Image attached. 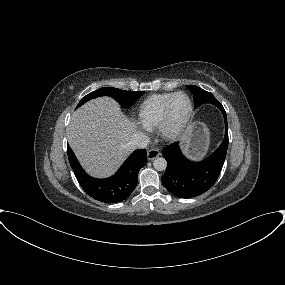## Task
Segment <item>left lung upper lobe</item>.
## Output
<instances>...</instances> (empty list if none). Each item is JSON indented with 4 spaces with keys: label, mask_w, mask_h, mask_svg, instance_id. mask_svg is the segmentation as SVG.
<instances>
[{
    "label": "left lung upper lobe",
    "mask_w": 285,
    "mask_h": 285,
    "mask_svg": "<svg viewBox=\"0 0 285 285\" xmlns=\"http://www.w3.org/2000/svg\"><path fill=\"white\" fill-rule=\"evenodd\" d=\"M186 87L193 93L195 108L204 103H212L214 105L219 103L210 92H207L194 85H187Z\"/></svg>",
    "instance_id": "5c2ea615"
}]
</instances>
